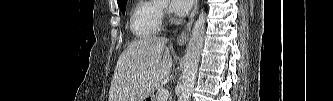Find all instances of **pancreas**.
<instances>
[{
	"mask_svg": "<svg viewBox=\"0 0 333 101\" xmlns=\"http://www.w3.org/2000/svg\"><path fill=\"white\" fill-rule=\"evenodd\" d=\"M160 90L157 92V94L155 96V99H154L155 101H162L161 98H160Z\"/></svg>",
	"mask_w": 333,
	"mask_h": 101,
	"instance_id": "1",
	"label": "pancreas"
}]
</instances>
